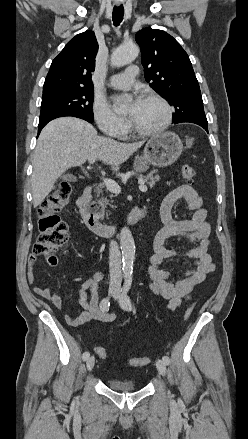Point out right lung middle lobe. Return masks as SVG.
<instances>
[{"label":"right lung middle lobe","mask_w":248,"mask_h":439,"mask_svg":"<svg viewBox=\"0 0 248 439\" xmlns=\"http://www.w3.org/2000/svg\"><path fill=\"white\" fill-rule=\"evenodd\" d=\"M93 88H78L42 96L40 121L65 114L93 117Z\"/></svg>","instance_id":"1"}]
</instances>
